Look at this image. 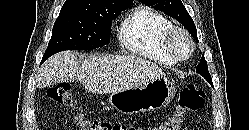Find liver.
<instances>
[{
  "label": "liver",
  "mask_w": 249,
  "mask_h": 130,
  "mask_svg": "<svg viewBox=\"0 0 249 130\" xmlns=\"http://www.w3.org/2000/svg\"><path fill=\"white\" fill-rule=\"evenodd\" d=\"M165 77L158 65L136 56L64 51L43 63L36 76V85L44 88L79 81L90 93L112 94Z\"/></svg>",
  "instance_id": "6515ba94"
}]
</instances>
